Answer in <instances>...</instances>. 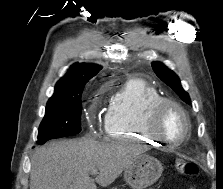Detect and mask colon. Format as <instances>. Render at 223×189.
<instances>
[{"label": "colon", "mask_w": 223, "mask_h": 189, "mask_svg": "<svg viewBox=\"0 0 223 189\" xmlns=\"http://www.w3.org/2000/svg\"><path fill=\"white\" fill-rule=\"evenodd\" d=\"M175 168L178 173L186 176H194L198 172L196 164L182 159L175 162Z\"/></svg>", "instance_id": "colon-1"}]
</instances>
